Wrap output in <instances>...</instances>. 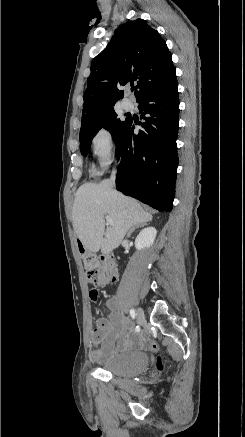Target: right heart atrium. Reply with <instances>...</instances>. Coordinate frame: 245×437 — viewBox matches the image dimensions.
<instances>
[{
	"label": "right heart atrium",
	"instance_id": "obj_1",
	"mask_svg": "<svg viewBox=\"0 0 245 437\" xmlns=\"http://www.w3.org/2000/svg\"><path fill=\"white\" fill-rule=\"evenodd\" d=\"M91 151L99 170L106 169L112 163L116 154V142L108 127L101 126L93 133Z\"/></svg>",
	"mask_w": 245,
	"mask_h": 437
}]
</instances>
